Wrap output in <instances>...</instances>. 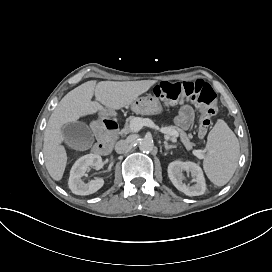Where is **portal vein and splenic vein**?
I'll return each instance as SVG.
<instances>
[{"instance_id":"1","label":"portal vein and splenic vein","mask_w":272,"mask_h":272,"mask_svg":"<svg viewBox=\"0 0 272 272\" xmlns=\"http://www.w3.org/2000/svg\"><path fill=\"white\" fill-rule=\"evenodd\" d=\"M143 126H147L153 129H156L160 131L161 133L174 136L172 139L173 141H176V138L178 136V132L176 130H172L168 127H162L159 128L152 120L148 118H140V117H135L131 122H130V128L133 132H138ZM193 154L198 157V158H203L200 150H193Z\"/></svg>"}]
</instances>
